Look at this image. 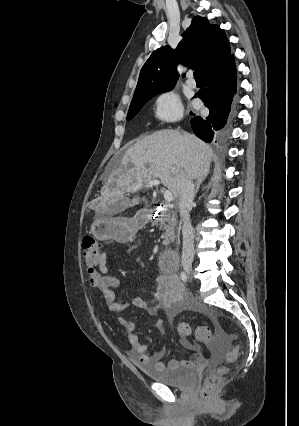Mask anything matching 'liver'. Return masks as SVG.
<instances>
[{
  "mask_svg": "<svg viewBox=\"0 0 299 426\" xmlns=\"http://www.w3.org/2000/svg\"><path fill=\"white\" fill-rule=\"evenodd\" d=\"M212 155L209 145L186 132L163 130L146 136L125 151L101 191L99 207L115 211L134 207L140 199L130 200L125 195L146 187L137 188L139 184L157 178L177 198L183 176H207Z\"/></svg>",
  "mask_w": 299,
  "mask_h": 426,
  "instance_id": "1",
  "label": "liver"
}]
</instances>
